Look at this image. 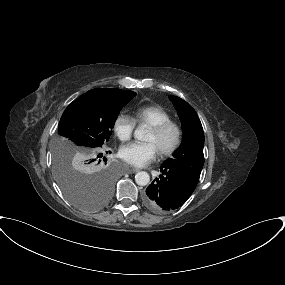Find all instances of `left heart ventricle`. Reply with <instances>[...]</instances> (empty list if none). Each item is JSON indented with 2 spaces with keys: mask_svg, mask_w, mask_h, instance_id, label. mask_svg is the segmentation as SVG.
<instances>
[{
  "mask_svg": "<svg viewBox=\"0 0 285 285\" xmlns=\"http://www.w3.org/2000/svg\"><path fill=\"white\" fill-rule=\"evenodd\" d=\"M145 140L153 142L158 150H162L169 147L174 142L175 131L173 129H168L163 134L157 135L150 129Z\"/></svg>",
  "mask_w": 285,
  "mask_h": 285,
  "instance_id": "left-heart-ventricle-1",
  "label": "left heart ventricle"
}]
</instances>
